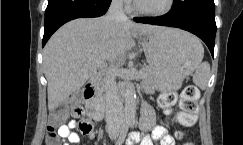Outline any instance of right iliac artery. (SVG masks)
I'll use <instances>...</instances> for the list:
<instances>
[{
  "label": "right iliac artery",
  "instance_id": "obj_1",
  "mask_svg": "<svg viewBox=\"0 0 243 145\" xmlns=\"http://www.w3.org/2000/svg\"><path fill=\"white\" fill-rule=\"evenodd\" d=\"M128 128H129V124L124 123L123 126H122V129H121L119 138L116 141L115 145H122V143L124 142V140L126 138V135H127V132H128Z\"/></svg>",
  "mask_w": 243,
  "mask_h": 145
}]
</instances>
